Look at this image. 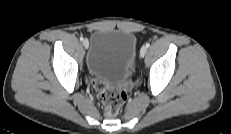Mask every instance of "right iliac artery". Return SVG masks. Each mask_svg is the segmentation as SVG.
<instances>
[{
  "label": "right iliac artery",
  "mask_w": 231,
  "mask_h": 134,
  "mask_svg": "<svg viewBox=\"0 0 231 134\" xmlns=\"http://www.w3.org/2000/svg\"><path fill=\"white\" fill-rule=\"evenodd\" d=\"M80 40H81V41H83V40H84L82 36L80 37Z\"/></svg>",
  "instance_id": "82829eb1"
}]
</instances>
